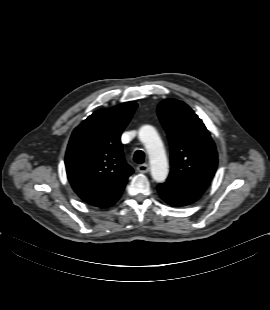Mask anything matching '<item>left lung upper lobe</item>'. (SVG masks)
<instances>
[{"mask_svg": "<svg viewBox=\"0 0 270 310\" xmlns=\"http://www.w3.org/2000/svg\"><path fill=\"white\" fill-rule=\"evenodd\" d=\"M171 147L168 182L206 190L217 169V151L202 120L185 103L163 100L157 109Z\"/></svg>", "mask_w": 270, "mask_h": 310, "instance_id": "left-lung-upper-lobe-1", "label": "left lung upper lobe"}]
</instances>
